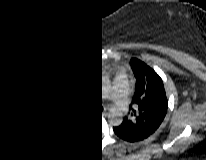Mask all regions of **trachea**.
I'll list each match as a JSON object with an SVG mask.
<instances>
[{
	"mask_svg": "<svg viewBox=\"0 0 206 160\" xmlns=\"http://www.w3.org/2000/svg\"><path fill=\"white\" fill-rule=\"evenodd\" d=\"M103 108H102V102H96V103H93L91 108H90V111L92 112H102Z\"/></svg>",
	"mask_w": 206,
	"mask_h": 160,
	"instance_id": "obj_1",
	"label": "trachea"
}]
</instances>
